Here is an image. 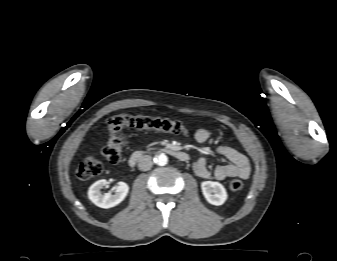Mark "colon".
Listing matches in <instances>:
<instances>
[{
    "label": "colon",
    "mask_w": 337,
    "mask_h": 261,
    "mask_svg": "<svg viewBox=\"0 0 337 261\" xmlns=\"http://www.w3.org/2000/svg\"><path fill=\"white\" fill-rule=\"evenodd\" d=\"M125 127L152 129L184 135L189 131L188 126L180 121L141 115H115L107 121L109 139L102 150L103 155L110 163L115 164L121 160L123 144L118 134L119 131ZM102 170V164L98 159L85 157L78 165L77 177L81 180H88L100 175ZM228 186L232 191H239L243 188V182L239 179H233L229 182Z\"/></svg>",
    "instance_id": "colon-1"
}]
</instances>
